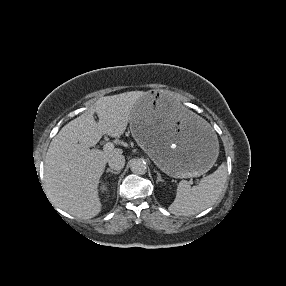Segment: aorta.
Listing matches in <instances>:
<instances>
[{
    "instance_id": "762f6f07",
    "label": "aorta",
    "mask_w": 286,
    "mask_h": 286,
    "mask_svg": "<svg viewBox=\"0 0 286 286\" xmlns=\"http://www.w3.org/2000/svg\"><path fill=\"white\" fill-rule=\"evenodd\" d=\"M130 169L134 174L143 175L147 171L146 163L141 159H132Z\"/></svg>"
}]
</instances>
